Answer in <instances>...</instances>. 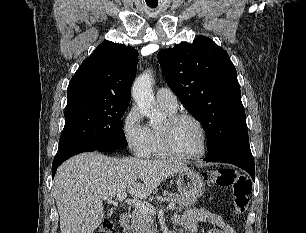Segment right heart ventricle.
<instances>
[{
	"label": "right heart ventricle",
	"instance_id": "right-heart-ventricle-1",
	"mask_svg": "<svg viewBox=\"0 0 306 233\" xmlns=\"http://www.w3.org/2000/svg\"><path fill=\"white\" fill-rule=\"evenodd\" d=\"M162 109L170 116L175 114L176 110H171L166 107L161 106ZM152 150L151 155L157 158H164L169 156L168 152L166 151L163 143L162 133L160 128H152Z\"/></svg>",
	"mask_w": 306,
	"mask_h": 233
}]
</instances>
